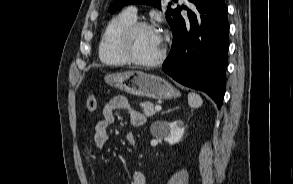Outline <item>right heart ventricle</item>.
Masks as SVG:
<instances>
[{"mask_svg": "<svg viewBox=\"0 0 293 184\" xmlns=\"http://www.w3.org/2000/svg\"><path fill=\"white\" fill-rule=\"evenodd\" d=\"M135 21L136 18L129 15L126 11L109 21L98 46L99 58L104 64L108 66H121L128 63L120 51L119 41L123 31Z\"/></svg>", "mask_w": 293, "mask_h": 184, "instance_id": "obj_1", "label": "right heart ventricle"}]
</instances>
